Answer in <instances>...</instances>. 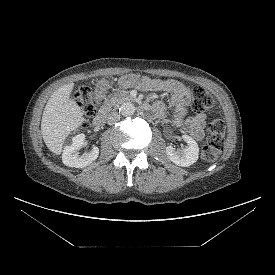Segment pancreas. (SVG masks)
Returning a JSON list of instances; mask_svg holds the SVG:
<instances>
[{
	"label": "pancreas",
	"instance_id": "pancreas-1",
	"mask_svg": "<svg viewBox=\"0 0 275 275\" xmlns=\"http://www.w3.org/2000/svg\"><path fill=\"white\" fill-rule=\"evenodd\" d=\"M131 99L132 97L127 92L116 90L105 98L103 109H111Z\"/></svg>",
	"mask_w": 275,
	"mask_h": 275
}]
</instances>
